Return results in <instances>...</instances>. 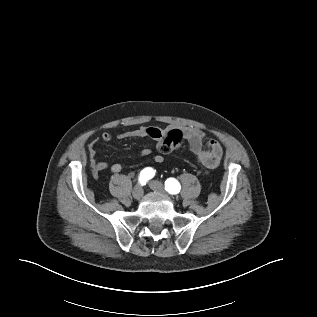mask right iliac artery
<instances>
[{"instance_id": "1", "label": "right iliac artery", "mask_w": 317, "mask_h": 317, "mask_svg": "<svg viewBox=\"0 0 317 317\" xmlns=\"http://www.w3.org/2000/svg\"><path fill=\"white\" fill-rule=\"evenodd\" d=\"M155 175V170L151 167L144 168L140 174L138 181L141 185H145L148 180L153 178Z\"/></svg>"}]
</instances>
